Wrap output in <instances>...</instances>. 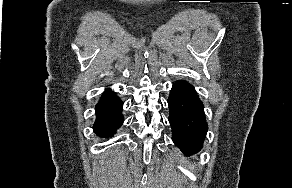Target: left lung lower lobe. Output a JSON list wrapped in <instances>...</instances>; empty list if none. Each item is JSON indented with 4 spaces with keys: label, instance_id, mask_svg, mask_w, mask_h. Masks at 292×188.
Here are the masks:
<instances>
[{
    "label": "left lung lower lobe",
    "instance_id": "1",
    "mask_svg": "<svg viewBox=\"0 0 292 188\" xmlns=\"http://www.w3.org/2000/svg\"><path fill=\"white\" fill-rule=\"evenodd\" d=\"M168 106L174 144L186 156L197 153L202 148L208 127L202 102L194 87L185 81L175 82Z\"/></svg>",
    "mask_w": 292,
    "mask_h": 188
}]
</instances>
